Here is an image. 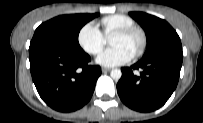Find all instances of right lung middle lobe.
<instances>
[{"label":"right lung middle lobe","instance_id":"dd1d6c3e","mask_svg":"<svg viewBox=\"0 0 203 123\" xmlns=\"http://www.w3.org/2000/svg\"><path fill=\"white\" fill-rule=\"evenodd\" d=\"M99 14L61 15L42 23L30 44H44L71 51L82 50L78 43L80 29Z\"/></svg>","mask_w":203,"mask_h":123}]
</instances>
